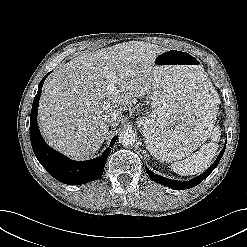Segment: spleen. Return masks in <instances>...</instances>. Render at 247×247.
Listing matches in <instances>:
<instances>
[{"mask_svg":"<svg viewBox=\"0 0 247 247\" xmlns=\"http://www.w3.org/2000/svg\"><path fill=\"white\" fill-rule=\"evenodd\" d=\"M221 135L220 126L214 124L211 126V130L209 133V137L211 138V142L203 145L199 151L192 154L185 160L180 162H174L171 165V169L181 176L195 175L203 172L207 169L215 157L218 144Z\"/></svg>","mask_w":247,"mask_h":247,"instance_id":"1","label":"spleen"}]
</instances>
